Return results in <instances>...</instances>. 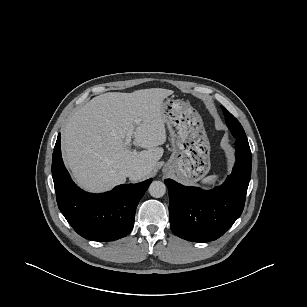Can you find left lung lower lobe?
<instances>
[{"label": "left lung lower lobe", "mask_w": 307, "mask_h": 307, "mask_svg": "<svg viewBox=\"0 0 307 307\" xmlns=\"http://www.w3.org/2000/svg\"><path fill=\"white\" fill-rule=\"evenodd\" d=\"M236 162L219 187L205 191L167 179L170 227L177 236L207 242L222 236L239 218L250 182L252 154L249 143L236 140Z\"/></svg>", "instance_id": "left-lung-lower-lobe-1"}]
</instances>
